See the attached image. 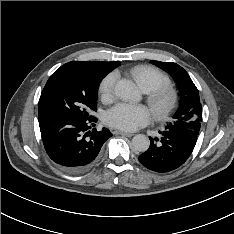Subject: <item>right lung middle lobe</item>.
Segmentation results:
<instances>
[{
	"label": "right lung middle lobe",
	"mask_w": 234,
	"mask_h": 234,
	"mask_svg": "<svg viewBox=\"0 0 234 234\" xmlns=\"http://www.w3.org/2000/svg\"><path fill=\"white\" fill-rule=\"evenodd\" d=\"M105 76L65 64L48 79L39 99V120L49 116L89 119L96 109V95Z\"/></svg>",
	"instance_id": "dd1d6c3e"
}]
</instances>
